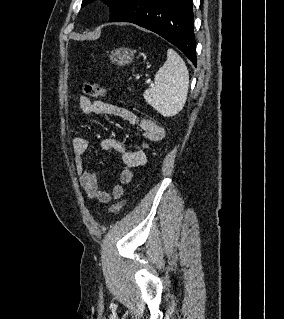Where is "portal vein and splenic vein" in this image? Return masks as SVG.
I'll use <instances>...</instances> for the list:
<instances>
[{
	"label": "portal vein and splenic vein",
	"mask_w": 284,
	"mask_h": 319,
	"mask_svg": "<svg viewBox=\"0 0 284 319\" xmlns=\"http://www.w3.org/2000/svg\"><path fill=\"white\" fill-rule=\"evenodd\" d=\"M151 82V80L149 79V80H147V83L149 84Z\"/></svg>",
	"instance_id": "portal-vein-and-splenic-vein-1"
}]
</instances>
